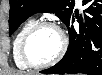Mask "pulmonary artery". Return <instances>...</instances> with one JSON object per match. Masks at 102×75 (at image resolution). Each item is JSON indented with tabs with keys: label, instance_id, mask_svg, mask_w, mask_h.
I'll list each match as a JSON object with an SVG mask.
<instances>
[{
	"label": "pulmonary artery",
	"instance_id": "pulmonary-artery-1",
	"mask_svg": "<svg viewBox=\"0 0 102 75\" xmlns=\"http://www.w3.org/2000/svg\"><path fill=\"white\" fill-rule=\"evenodd\" d=\"M76 3H77L78 5H80V4L82 3V0H76Z\"/></svg>",
	"mask_w": 102,
	"mask_h": 75
}]
</instances>
